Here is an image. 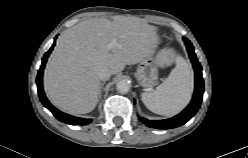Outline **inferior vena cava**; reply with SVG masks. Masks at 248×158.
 <instances>
[{
	"label": "inferior vena cava",
	"mask_w": 248,
	"mask_h": 158,
	"mask_svg": "<svg viewBox=\"0 0 248 158\" xmlns=\"http://www.w3.org/2000/svg\"><path fill=\"white\" fill-rule=\"evenodd\" d=\"M112 71L109 68H104L99 73V78L102 81H106L110 78Z\"/></svg>",
	"instance_id": "inferior-vena-cava-1"
}]
</instances>
